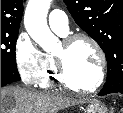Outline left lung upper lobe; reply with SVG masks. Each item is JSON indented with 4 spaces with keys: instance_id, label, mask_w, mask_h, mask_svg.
I'll return each mask as SVG.
<instances>
[{
    "instance_id": "5c2ea615",
    "label": "left lung upper lobe",
    "mask_w": 123,
    "mask_h": 113,
    "mask_svg": "<svg viewBox=\"0 0 123 113\" xmlns=\"http://www.w3.org/2000/svg\"><path fill=\"white\" fill-rule=\"evenodd\" d=\"M77 25L102 48L107 80L102 90L123 91V0H64Z\"/></svg>"
}]
</instances>
